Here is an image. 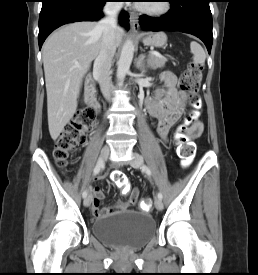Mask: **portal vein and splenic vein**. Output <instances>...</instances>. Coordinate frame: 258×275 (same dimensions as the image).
Wrapping results in <instances>:
<instances>
[{
    "label": "portal vein and splenic vein",
    "mask_w": 258,
    "mask_h": 275,
    "mask_svg": "<svg viewBox=\"0 0 258 275\" xmlns=\"http://www.w3.org/2000/svg\"><path fill=\"white\" fill-rule=\"evenodd\" d=\"M149 54H150V55H155V56H158V57H160V58H162V59H165V60H166V58H165L164 56H162L161 54H159L158 52L151 51V52H149Z\"/></svg>",
    "instance_id": "1"
}]
</instances>
